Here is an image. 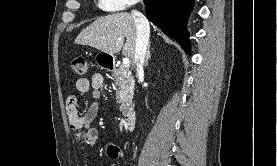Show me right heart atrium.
<instances>
[{"mask_svg": "<svg viewBox=\"0 0 277 166\" xmlns=\"http://www.w3.org/2000/svg\"><path fill=\"white\" fill-rule=\"evenodd\" d=\"M140 0H97L98 7L106 12H117L132 8Z\"/></svg>", "mask_w": 277, "mask_h": 166, "instance_id": "obj_1", "label": "right heart atrium"}]
</instances>
